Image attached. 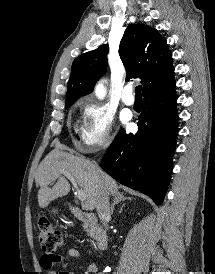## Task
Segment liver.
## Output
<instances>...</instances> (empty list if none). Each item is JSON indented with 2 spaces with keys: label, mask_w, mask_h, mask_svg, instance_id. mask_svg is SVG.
Returning a JSON list of instances; mask_svg holds the SVG:
<instances>
[{
  "label": "liver",
  "mask_w": 215,
  "mask_h": 274,
  "mask_svg": "<svg viewBox=\"0 0 215 274\" xmlns=\"http://www.w3.org/2000/svg\"><path fill=\"white\" fill-rule=\"evenodd\" d=\"M61 170L69 172L86 193V207L89 210L96 207L102 184L109 194L119 193L116 181L101 169H96L93 162L57 147L42 160L36 172L35 183L40 187L38 203L41 208L70 192L69 182L61 176ZM55 180L56 184L49 188L48 185Z\"/></svg>",
  "instance_id": "liver-1"
}]
</instances>
